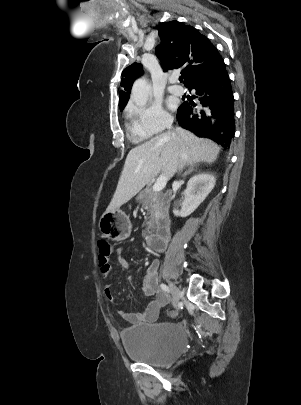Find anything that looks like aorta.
<instances>
[{
	"label": "aorta",
	"instance_id": "obj_1",
	"mask_svg": "<svg viewBox=\"0 0 301 405\" xmlns=\"http://www.w3.org/2000/svg\"><path fill=\"white\" fill-rule=\"evenodd\" d=\"M150 92V84L144 78H139L133 84L131 98L136 105L143 106L147 103Z\"/></svg>",
	"mask_w": 301,
	"mask_h": 405
}]
</instances>
